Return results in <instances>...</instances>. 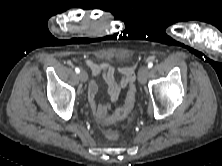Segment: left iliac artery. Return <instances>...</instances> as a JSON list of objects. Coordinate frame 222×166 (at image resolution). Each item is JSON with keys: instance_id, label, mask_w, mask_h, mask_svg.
<instances>
[{"instance_id": "1", "label": "left iliac artery", "mask_w": 222, "mask_h": 166, "mask_svg": "<svg viewBox=\"0 0 222 166\" xmlns=\"http://www.w3.org/2000/svg\"><path fill=\"white\" fill-rule=\"evenodd\" d=\"M153 67V62H149L148 63V68H152Z\"/></svg>"}]
</instances>
